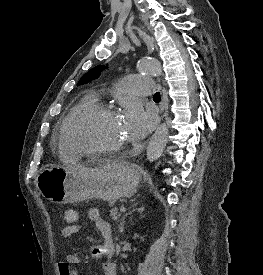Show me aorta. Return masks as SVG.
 I'll return each instance as SVG.
<instances>
[{"mask_svg":"<svg viewBox=\"0 0 263 275\" xmlns=\"http://www.w3.org/2000/svg\"><path fill=\"white\" fill-rule=\"evenodd\" d=\"M138 69L142 73L151 75H160L162 73L161 64L156 59L141 60L138 64ZM168 134L169 124L165 122L155 130L146 151V157L149 162H154L162 155L167 144Z\"/></svg>","mask_w":263,"mask_h":275,"instance_id":"762f6f07","label":"aorta"}]
</instances>
